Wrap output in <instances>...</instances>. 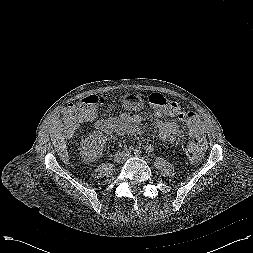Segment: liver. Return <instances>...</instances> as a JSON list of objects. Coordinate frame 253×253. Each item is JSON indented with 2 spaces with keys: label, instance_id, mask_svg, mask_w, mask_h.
Returning a JSON list of instances; mask_svg holds the SVG:
<instances>
[{
  "label": "liver",
  "instance_id": "obj_1",
  "mask_svg": "<svg viewBox=\"0 0 253 253\" xmlns=\"http://www.w3.org/2000/svg\"><path fill=\"white\" fill-rule=\"evenodd\" d=\"M59 113L52 119L50 126H49V134L52 140V143L55 147L56 152L60 156V158L65 162L68 163V153L66 150L65 138L62 135L59 122Z\"/></svg>",
  "mask_w": 253,
  "mask_h": 253
}]
</instances>
